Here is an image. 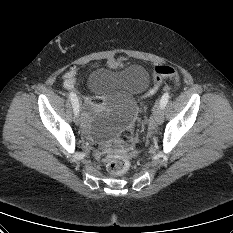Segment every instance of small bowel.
I'll use <instances>...</instances> for the list:
<instances>
[{
    "label": "small bowel",
    "mask_w": 233,
    "mask_h": 233,
    "mask_svg": "<svg viewBox=\"0 0 233 233\" xmlns=\"http://www.w3.org/2000/svg\"><path fill=\"white\" fill-rule=\"evenodd\" d=\"M91 108H92L91 103H88L87 106H86L87 111L89 112L91 110Z\"/></svg>",
    "instance_id": "small-bowel-1"
}]
</instances>
